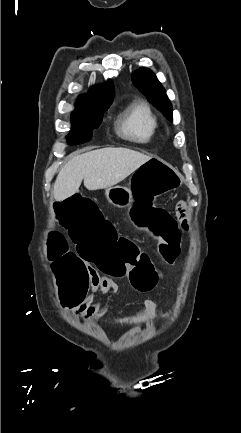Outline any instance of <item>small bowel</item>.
Masks as SVG:
<instances>
[{
  "label": "small bowel",
  "mask_w": 241,
  "mask_h": 433,
  "mask_svg": "<svg viewBox=\"0 0 241 433\" xmlns=\"http://www.w3.org/2000/svg\"><path fill=\"white\" fill-rule=\"evenodd\" d=\"M135 172H137V169ZM175 212L176 217H179L180 219L179 226H181L183 231H188L190 228V217L186 202L180 201L176 206ZM81 259L82 263H85L86 267L89 268L91 274L90 285L92 290L98 291L103 295L115 297L119 291L118 283L113 278L100 274L94 269L93 265H89L88 261H84L83 257H81ZM109 308V304H103L100 301H95L91 295H88L87 299L85 300V304L72 305L71 312L73 315L86 320H98L103 318L108 313ZM167 316L168 314H164L162 318ZM156 319L157 306L155 302L152 300H145L142 304L141 310L134 315L107 321L119 326H135L143 323H150Z\"/></svg>",
  "instance_id": "small-bowel-1"
}]
</instances>
